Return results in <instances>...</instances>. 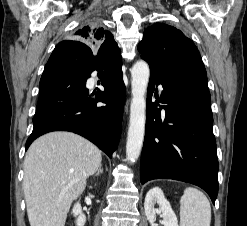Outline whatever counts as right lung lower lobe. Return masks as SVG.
<instances>
[{
  "instance_id": "98d812e1",
  "label": "right lung lower lobe",
  "mask_w": 247,
  "mask_h": 226,
  "mask_svg": "<svg viewBox=\"0 0 247 226\" xmlns=\"http://www.w3.org/2000/svg\"><path fill=\"white\" fill-rule=\"evenodd\" d=\"M111 56L101 50L94 56L88 45L77 40L57 44L40 79L34 128L26 150L37 137L65 130L87 138L112 157L121 135L126 89L122 62ZM95 70L105 77V90L92 99L86 80ZM99 101L106 106L97 107Z\"/></svg>"
}]
</instances>
